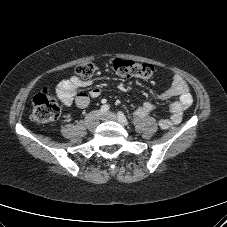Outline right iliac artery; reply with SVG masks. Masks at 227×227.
Here are the masks:
<instances>
[{"instance_id": "82829eb1", "label": "right iliac artery", "mask_w": 227, "mask_h": 227, "mask_svg": "<svg viewBox=\"0 0 227 227\" xmlns=\"http://www.w3.org/2000/svg\"><path fill=\"white\" fill-rule=\"evenodd\" d=\"M109 109H110V106L107 105V104H105V105L101 106L100 111H101L102 113H105V112H107Z\"/></svg>"}]
</instances>
